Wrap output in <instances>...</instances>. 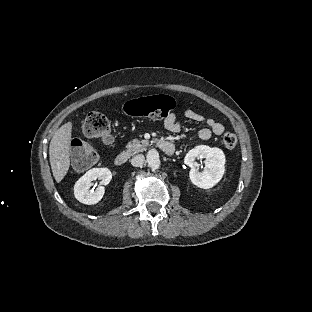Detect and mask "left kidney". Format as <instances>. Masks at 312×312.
I'll list each match as a JSON object with an SVG mask.
<instances>
[{
  "label": "left kidney",
  "mask_w": 312,
  "mask_h": 312,
  "mask_svg": "<svg viewBox=\"0 0 312 312\" xmlns=\"http://www.w3.org/2000/svg\"><path fill=\"white\" fill-rule=\"evenodd\" d=\"M196 158H205V168L199 171L196 167ZM184 163L191 170L189 177L191 182L203 189H208L216 185L222 178L225 171V155L219 148H211L206 145H199L191 149L184 158Z\"/></svg>",
  "instance_id": "5707ae66"
}]
</instances>
